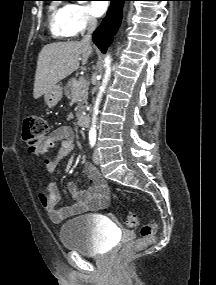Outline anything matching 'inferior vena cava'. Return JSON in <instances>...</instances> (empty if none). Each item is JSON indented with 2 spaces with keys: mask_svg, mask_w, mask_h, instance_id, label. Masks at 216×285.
I'll use <instances>...</instances> for the list:
<instances>
[{
  "mask_svg": "<svg viewBox=\"0 0 216 285\" xmlns=\"http://www.w3.org/2000/svg\"><path fill=\"white\" fill-rule=\"evenodd\" d=\"M96 26H97V20L94 17L90 16L87 21V35L84 36L82 40L83 42L90 43L92 33L95 30Z\"/></svg>",
  "mask_w": 216,
  "mask_h": 285,
  "instance_id": "602c4592",
  "label": "inferior vena cava"
}]
</instances>
